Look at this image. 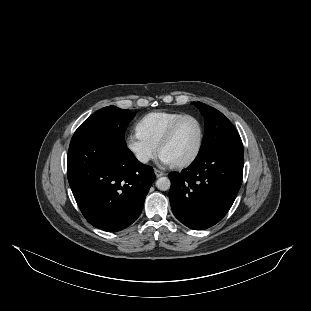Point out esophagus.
<instances>
[{
  "label": "esophagus",
  "mask_w": 311,
  "mask_h": 311,
  "mask_svg": "<svg viewBox=\"0 0 311 311\" xmlns=\"http://www.w3.org/2000/svg\"><path fill=\"white\" fill-rule=\"evenodd\" d=\"M154 172H155V175H156L157 178L165 175L164 172H162V171H160V170H158L156 168H154Z\"/></svg>",
  "instance_id": "esophagus-1"
}]
</instances>
